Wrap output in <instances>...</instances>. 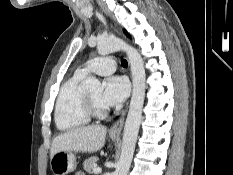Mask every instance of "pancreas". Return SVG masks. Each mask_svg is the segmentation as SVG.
I'll return each instance as SVG.
<instances>
[{
  "label": "pancreas",
  "mask_w": 233,
  "mask_h": 175,
  "mask_svg": "<svg viewBox=\"0 0 233 175\" xmlns=\"http://www.w3.org/2000/svg\"><path fill=\"white\" fill-rule=\"evenodd\" d=\"M98 158L96 156H91L83 162V167L86 172H93L94 168L96 167V162Z\"/></svg>",
  "instance_id": "1"
}]
</instances>
